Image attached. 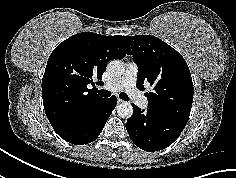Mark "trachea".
<instances>
[{"label": "trachea", "mask_w": 236, "mask_h": 178, "mask_svg": "<svg viewBox=\"0 0 236 178\" xmlns=\"http://www.w3.org/2000/svg\"><path fill=\"white\" fill-rule=\"evenodd\" d=\"M96 91L100 94V96L105 97V98H108L111 95L110 92L103 90V89H101V90L96 89ZM119 97L124 101H129V97L127 96L126 93H123V92L120 93Z\"/></svg>", "instance_id": "1"}]
</instances>
